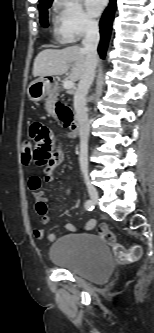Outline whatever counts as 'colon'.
I'll return each mask as SVG.
<instances>
[{
	"label": "colon",
	"mask_w": 154,
	"mask_h": 333,
	"mask_svg": "<svg viewBox=\"0 0 154 333\" xmlns=\"http://www.w3.org/2000/svg\"><path fill=\"white\" fill-rule=\"evenodd\" d=\"M57 114L59 115L61 122L63 125H69L71 120V110L69 107L58 104L57 105ZM34 160L33 157V144L30 138L24 139L22 142V161L25 164L30 163ZM98 234L102 238V240L111 247L115 259L120 263H128L137 260L142 253L141 247L138 245H134L130 248H125L122 244H120L114 233L105 225H102L98 228Z\"/></svg>",
	"instance_id": "5ec220e1"
}]
</instances>
